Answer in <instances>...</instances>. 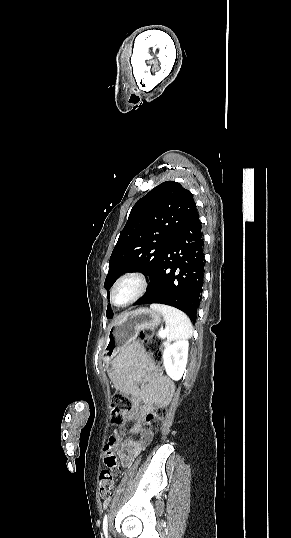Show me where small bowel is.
Masks as SVG:
<instances>
[{
    "label": "small bowel",
    "instance_id": "c3829d8e",
    "mask_svg": "<svg viewBox=\"0 0 291 538\" xmlns=\"http://www.w3.org/2000/svg\"><path fill=\"white\" fill-rule=\"evenodd\" d=\"M105 370L114 388L129 396L134 404L124 420L132 423L131 432L136 438H123L119 430H114L106 444L112 447L117 459L116 466L111 469L118 473L121 468L129 467L151 443L152 435L144 427L145 416L160 398L170 400L174 388L137 347L113 354Z\"/></svg>",
    "mask_w": 291,
    "mask_h": 538
}]
</instances>
